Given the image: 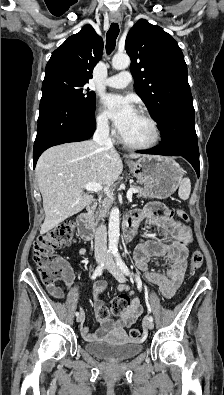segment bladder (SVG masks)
<instances>
[{
	"label": "bladder",
	"instance_id": "1",
	"mask_svg": "<svg viewBox=\"0 0 224 395\" xmlns=\"http://www.w3.org/2000/svg\"><path fill=\"white\" fill-rule=\"evenodd\" d=\"M84 348L91 355L111 362H120L130 360L140 354L143 351V344L124 339L122 342H90L86 343Z\"/></svg>",
	"mask_w": 224,
	"mask_h": 395
}]
</instances>
